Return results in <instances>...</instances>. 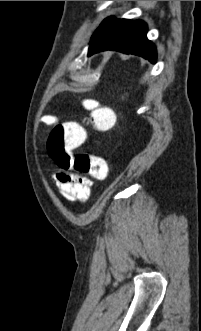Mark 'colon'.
Wrapping results in <instances>:
<instances>
[{
    "mask_svg": "<svg viewBox=\"0 0 201 331\" xmlns=\"http://www.w3.org/2000/svg\"><path fill=\"white\" fill-rule=\"evenodd\" d=\"M83 106L90 113L88 123L92 129L105 132L114 127L116 115L112 109L93 100H85ZM85 140L86 131L82 125L76 122H60L50 132L48 154L62 170L88 174L93 179L104 181L108 177V166L103 158L86 152L76 155L69 152L82 145Z\"/></svg>",
    "mask_w": 201,
    "mask_h": 331,
    "instance_id": "colon-1",
    "label": "colon"
}]
</instances>
